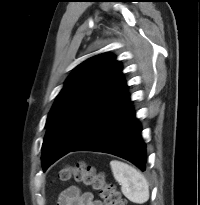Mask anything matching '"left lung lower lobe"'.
Listing matches in <instances>:
<instances>
[{
  "label": "left lung lower lobe",
  "mask_w": 200,
  "mask_h": 205,
  "mask_svg": "<svg viewBox=\"0 0 200 205\" xmlns=\"http://www.w3.org/2000/svg\"><path fill=\"white\" fill-rule=\"evenodd\" d=\"M98 151L122 157L146 169V147L131 105L126 82L107 110L70 151Z\"/></svg>",
  "instance_id": "obj_1"
}]
</instances>
